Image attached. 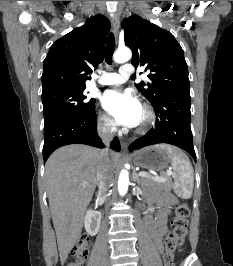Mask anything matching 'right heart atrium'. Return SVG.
Returning a JSON list of instances; mask_svg holds the SVG:
<instances>
[{
  "instance_id": "obj_1",
  "label": "right heart atrium",
  "mask_w": 233,
  "mask_h": 266,
  "mask_svg": "<svg viewBox=\"0 0 233 266\" xmlns=\"http://www.w3.org/2000/svg\"><path fill=\"white\" fill-rule=\"evenodd\" d=\"M98 127L103 133H113L116 131V124L111 117L104 113H100L98 117Z\"/></svg>"
}]
</instances>
